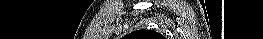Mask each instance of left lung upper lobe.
Here are the masks:
<instances>
[{
	"label": "left lung upper lobe",
	"instance_id": "5c2ea615",
	"mask_svg": "<svg viewBox=\"0 0 263 39\" xmlns=\"http://www.w3.org/2000/svg\"><path fill=\"white\" fill-rule=\"evenodd\" d=\"M124 39H165V37L153 30H137L124 37Z\"/></svg>",
	"mask_w": 263,
	"mask_h": 39
}]
</instances>
